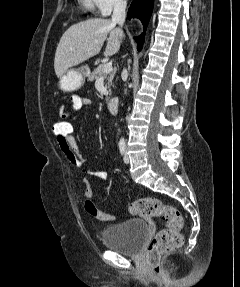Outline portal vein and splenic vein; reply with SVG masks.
Instances as JSON below:
<instances>
[{
    "label": "portal vein and splenic vein",
    "mask_w": 240,
    "mask_h": 287,
    "mask_svg": "<svg viewBox=\"0 0 240 287\" xmlns=\"http://www.w3.org/2000/svg\"><path fill=\"white\" fill-rule=\"evenodd\" d=\"M103 71L105 74H108L112 71V64L111 63H105L103 67Z\"/></svg>",
    "instance_id": "1"
}]
</instances>
